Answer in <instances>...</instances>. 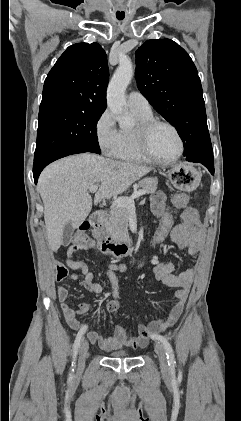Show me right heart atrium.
I'll return each instance as SVG.
<instances>
[{
	"instance_id": "d8ad5b80",
	"label": "right heart atrium",
	"mask_w": 241,
	"mask_h": 421,
	"mask_svg": "<svg viewBox=\"0 0 241 421\" xmlns=\"http://www.w3.org/2000/svg\"><path fill=\"white\" fill-rule=\"evenodd\" d=\"M95 136L102 153L113 157L119 142V130L108 109L100 114L95 123Z\"/></svg>"
}]
</instances>
